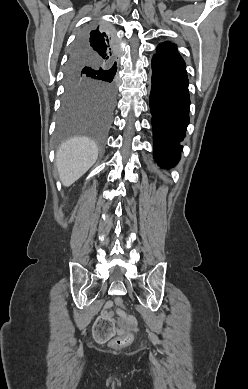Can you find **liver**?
I'll list each match as a JSON object with an SVG mask.
<instances>
[{
  "mask_svg": "<svg viewBox=\"0 0 248 389\" xmlns=\"http://www.w3.org/2000/svg\"><path fill=\"white\" fill-rule=\"evenodd\" d=\"M98 147L88 137H73L56 152V166L64 186L68 187L84 175L96 162Z\"/></svg>",
  "mask_w": 248,
  "mask_h": 389,
  "instance_id": "obj_1",
  "label": "liver"
}]
</instances>
